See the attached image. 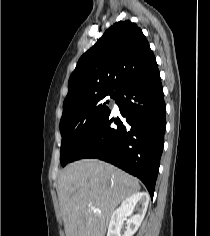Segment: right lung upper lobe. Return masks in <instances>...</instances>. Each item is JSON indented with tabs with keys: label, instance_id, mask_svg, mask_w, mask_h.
Instances as JSON below:
<instances>
[{
	"label": "right lung upper lobe",
	"instance_id": "1",
	"mask_svg": "<svg viewBox=\"0 0 210 236\" xmlns=\"http://www.w3.org/2000/svg\"><path fill=\"white\" fill-rule=\"evenodd\" d=\"M157 66L141 29L119 21L79 59L68 82L63 113L105 93H116L125 83Z\"/></svg>",
	"mask_w": 210,
	"mask_h": 236
}]
</instances>
